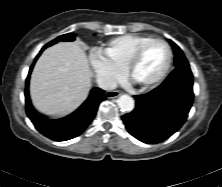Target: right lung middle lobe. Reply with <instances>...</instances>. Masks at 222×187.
<instances>
[{"mask_svg": "<svg viewBox=\"0 0 222 187\" xmlns=\"http://www.w3.org/2000/svg\"><path fill=\"white\" fill-rule=\"evenodd\" d=\"M75 36H76V34H74V33L61 35V36L57 37L56 39L52 40L51 42H49L47 44V46L49 47L53 44H56L58 41H74Z\"/></svg>", "mask_w": 222, "mask_h": 187, "instance_id": "right-lung-middle-lobe-1", "label": "right lung middle lobe"}]
</instances>
